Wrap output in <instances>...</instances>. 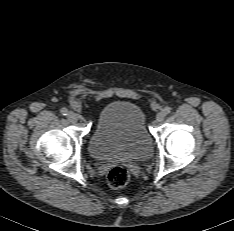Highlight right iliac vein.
Returning a JSON list of instances; mask_svg holds the SVG:
<instances>
[{
	"instance_id": "1",
	"label": "right iliac vein",
	"mask_w": 234,
	"mask_h": 231,
	"mask_svg": "<svg viewBox=\"0 0 234 231\" xmlns=\"http://www.w3.org/2000/svg\"><path fill=\"white\" fill-rule=\"evenodd\" d=\"M67 118H68V120L70 121V122H72V123H75V122H77V116H76V114L74 113V112H69L68 114H67Z\"/></svg>"
}]
</instances>
